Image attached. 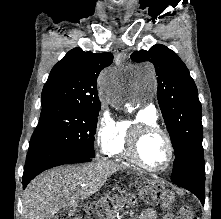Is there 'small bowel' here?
Returning a JSON list of instances; mask_svg holds the SVG:
<instances>
[{"label":"small bowel","instance_id":"c3829d8e","mask_svg":"<svg viewBox=\"0 0 221 219\" xmlns=\"http://www.w3.org/2000/svg\"><path fill=\"white\" fill-rule=\"evenodd\" d=\"M139 219H158V217L153 210H146L140 215Z\"/></svg>","mask_w":221,"mask_h":219}]
</instances>
